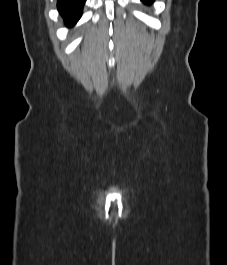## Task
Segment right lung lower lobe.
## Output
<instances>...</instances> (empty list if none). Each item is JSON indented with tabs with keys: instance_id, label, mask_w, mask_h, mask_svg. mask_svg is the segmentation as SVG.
<instances>
[{
	"instance_id": "obj_1",
	"label": "right lung lower lobe",
	"mask_w": 227,
	"mask_h": 265,
	"mask_svg": "<svg viewBox=\"0 0 227 265\" xmlns=\"http://www.w3.org/2000/svg\"><path fill=\"white\" fill-rule=\"evenodd\" d=\"M86 0H58L57 8L67 26H73L81 17Z\"/></svg>"
}]
</instances>
